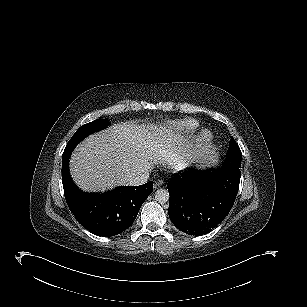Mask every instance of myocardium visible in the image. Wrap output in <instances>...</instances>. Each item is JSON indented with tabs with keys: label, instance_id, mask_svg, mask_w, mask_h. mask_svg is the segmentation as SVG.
Segmentation results:
<instances>
[{
	"label": "myocardium",
	"instance_id": "myocardium-1",
	"mask_svg": "<svg viewBox=\"0 0 307 307\" xmlns=\"http://www.w3.org/2000/svg\"><path fill=\"white\" fill-rule=\"evenodd\" d=\"M211 134L209 130H203L190 146L179 151L173 157L164 162V165L172 171H180L188 168L195 160L196 154L209 142Z\"/></svg>",
	"mask_w": 307,
	"mask_h": 307
}]
</instances>
